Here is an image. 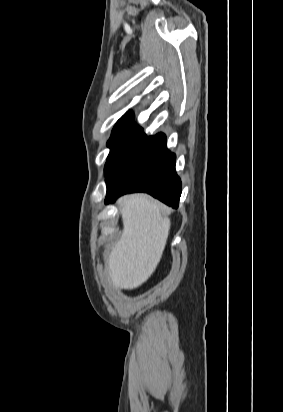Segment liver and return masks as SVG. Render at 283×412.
Wrapping results in <instances>:
<instances>
[{"label": "liver", "instance_id": "1", "mask_svg": "<svg viewBox=\"0 0 283 412\" xmlns=\"http://www.w3.org/2000/svg\"><path fill=\"white\" fill-rule=\"evenodd\" d=\"M119 208L123 233L109 259V276L116 288L131 290L141 286L159 264L170 230L166 207L147 195L122 197Z\"/></svg>", "mask_w": 283, "mask_h": 412}]
</instances>
